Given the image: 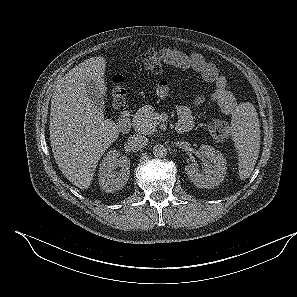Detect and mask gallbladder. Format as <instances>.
<instances>
[{
  "label": "gallbladder",
  "instance_id": "gallbladder-1",
  "mask_svg": "<svg viewBox=\"0 0 297 297\" xmlns=\"http://www.w3.org/2000/svg\"><path fill=\"white\" fill-rule=\"evenodd\" d=\"M84 87L87 96L92 100L93 104L103 112L105 108L104 95L98 88L97 84L93 81L87 80L84 82Z\"/></svg>",
  "mask_w": 297,
  "mask_h": 297
}]
</instances>
